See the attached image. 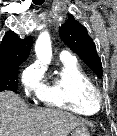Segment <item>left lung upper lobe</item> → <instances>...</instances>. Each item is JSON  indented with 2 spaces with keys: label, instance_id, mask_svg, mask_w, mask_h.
Segmentation results:
<instances>
[{
  "label": "left lung upper lobe",
  "instance_id": "5c2ea615",
  "mask_svg": "<svg viewBox=\"0 0 117 136\" xmlns=\"http://www.w3.org/2000/svg\"><path fill=\"white\" fill-rule=\"evenodd\" d=\"M62 40L85 62V64L98 76L102 77L101 60L96 47L87 29L69 16L59 29Z\"/></svg>",
  "mask_w": 117,
  "mask_h": 136
}]
</instances>
